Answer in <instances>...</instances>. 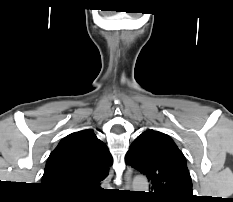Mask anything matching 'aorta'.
Listing matches in <instances>:
<instances>
[{"label":"aorta","mask_w":233,"mask_h":202,"mask_svg":"<svg viewBox=\"0 0 233 202\" xmlns=\"http://www.w3.org/2000/svg\"><path fill=\"white\" fill-rule=\"evenodd\" d=\"M134 191H146L148 190V181L146 178H135L133 181Z\"/></svg>","instance_id":"762f6f07"}]
</instances>
